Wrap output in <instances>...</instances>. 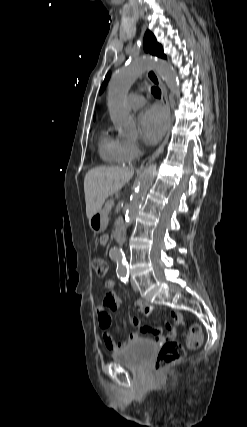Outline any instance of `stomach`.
<instances>
[{"mask_svg": "<svg viewBox=\"0 0 247 427\" xmlns=\"http://www.w3.org/2000/svg\"><path fill=\"white\" fill-rule=\"evenodd\" d=\"M108 224L107 214L103 212V210L97 212L89 219L90 228L95 233L103 232Z\"/></svg>", "mask_w": 247, "mask_h": 427, "instance_id": "1", "label": "stomach"}]
</instances>
